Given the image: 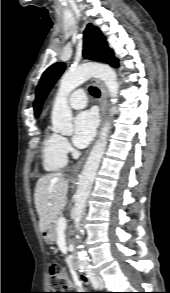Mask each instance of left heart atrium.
Segmentation results:
<instances>
[{"label":"left heart atrium","mask_w":170,"mask_h":293,"mask_svg":"<svg viewBox=\"0 0 170 293\" xmlns=\"http://www.w3.org/2000/svg\"><path fill=\"white\" fill-rule=\"evenodd\" d=\"M98 120L93 111H84L73 122L72 141L78 148L86 147L95 135Z\"/></svg>","instance_id":"1"}]
</instances>
